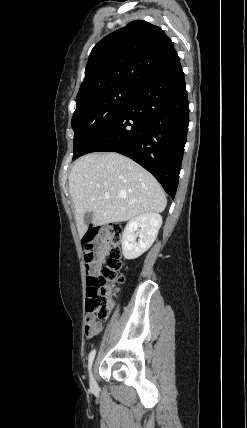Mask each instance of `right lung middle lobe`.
Wrapping results in <instances>:
<instances>
[{"label": "right lung middle lobe", "instance_id": "1", "mask_svg": "<svg viewBox=\"0 0 247 428\" xmlns=\"http://www.w3.org/2000/svg\"><path fill=\"white\" fill-rule=\"evenodd\" d=\"M138 89L114 86L76 97L71 125L74 130L73 160L83 154L96 137L125 109Z\"/></svg>", "mask_w": 247, "mask_h": 428}]
</instances>
